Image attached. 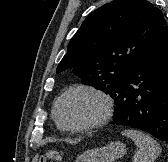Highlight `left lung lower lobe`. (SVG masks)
<instances>
[{
    "label": "left lung lower lobe",
    "instance_id": "1",
    "mask_svg": "<svg viewBox=\"0 0 168 162\" xmlns=\"http://www.w3.org/2000/svg\"><path fill=\"white\" fill-rule=\"evenodd\" d=\"M112 124L130 126L168 143V26L117 87Z\"/></svg>",
    "mask_w": 168,
    "mask_h": 162
}]
</instances>
